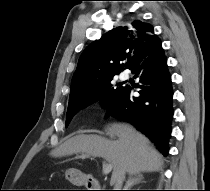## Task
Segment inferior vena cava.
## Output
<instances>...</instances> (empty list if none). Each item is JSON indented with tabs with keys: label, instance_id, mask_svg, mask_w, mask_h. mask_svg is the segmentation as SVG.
<instances>
[{
	"label": "inferior vena cava",
	"instance_id": "602c4592",
	"mask_svg": "<svg viewBox=\"0 0 210 191\" xmlns=\"http://www.w3.org/2000/svg\"><path fill=\"white\" fill-rule=\"evenodd\" d=\"M124 178H125V171L122 170V171L118 174V176H117V178H116V180H115V182H114V190H121V187H122Z\"/></svg>",
	"mask_w": 210,
	"mask_h": 191
}]
</instances>
